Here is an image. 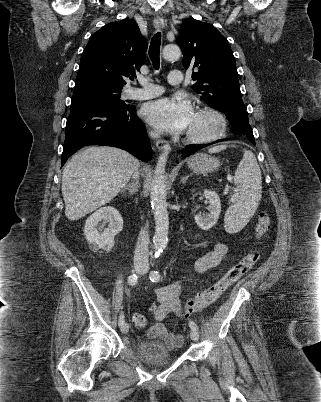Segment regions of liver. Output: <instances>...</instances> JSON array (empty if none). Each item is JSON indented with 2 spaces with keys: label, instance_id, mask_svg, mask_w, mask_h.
Returning a JSON list of instances; mask_svg holds the SVG:
<instances>
[{
  "label": "liver",
  "instance_id": "obj_1",
  "mask_svg": "<svg viewBox=\"0 0 321 402\" xmlns=\"http://www.w3.org/2000/svg\"><path fill=\"white\" fill-rule=\"evenodd\" d=\"M139 165L128 152L109 146H90L74 155L62 175L66 217L78 220L110 202Z\"/></svg>",
  "mask_w": 321,
  "mask_h": 402
}]
</instances>
